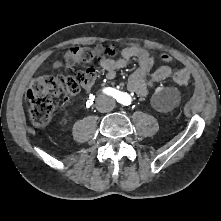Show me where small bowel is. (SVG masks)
<instances>
[{"mask_svg": "<svg viewBox=\"0 0 221 221\" xmlns=\"http://www.w3.org/2000/svg\"><path fill=\"white\" fill-rule=\"evenodd\" d=\"M131 59L138 61V68L129 76L127 89L138 96H146L156 83L167 79L172 73V69L167 65L169 56L162 55L161 61L165 64L152 71L156 64L155 57L143 48L129 46L125 47L116 59L109 57L100 60L99 65L105 79L113 80L117 71L126 67Z\"/></svg>", "mask_w": 221, "mask_h": 221, "instance_id": "c3829d8e", "label": "small bowel"}]
</instances>
